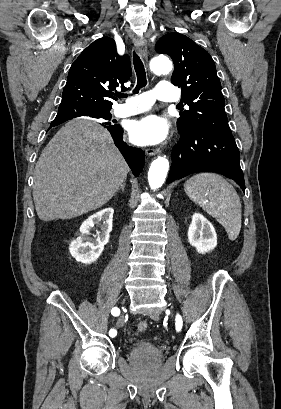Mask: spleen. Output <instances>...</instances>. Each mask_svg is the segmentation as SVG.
<instances>
[{"mask_svg":"<svg viewBox=\"0 0 281 409\" xmlns=\"http://www.w3.org/2000/svg\"><path fill=\"white\" fill-rule=\"evenodd\" d=\"M184 186L189 198L224 227L230 241H235L241 231L242 209L234 186L214 172L194 174Z\"/></svg>","mask_w":281,"mask_h":409,"instance_id":"spleen-1","label":"spleen"}]
</instances>
